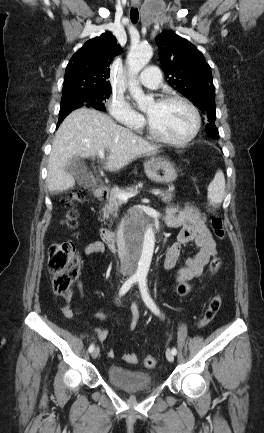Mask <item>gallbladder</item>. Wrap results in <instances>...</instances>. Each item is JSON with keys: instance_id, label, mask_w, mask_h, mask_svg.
Here are the masks:
<instances>
[{"instance_id": "obj_1", "label": "gallbladder", "mask_w": 264, "mask_h": 433, "mask_svg": "<svg viewBox=\"0 0 264 433\" xmlns=\"http://www.w3.org/2000/svg\"><path fill=\"white\" fill-rule=\"evenodd\" d=\"M66 171L73 175L80 186L86 188L94 187L91 174L80 157L75 156L71 158L66 165Z\"/></svg>"}]
</instances>
